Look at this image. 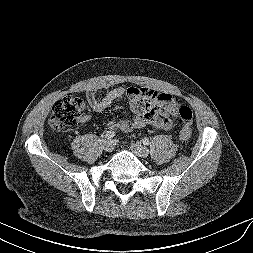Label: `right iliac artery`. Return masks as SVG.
<instances>
[{
    "label": "right iliac artery",
    "instance_id": "obj_1",
    "mask_svg": "<svg viewBox=\"0 0 253 253\" xmlns=\"http://www.w3.org/2000/svg\"><path fill=\"white\" fill-rule=\"evenodd\" d=\"M115 136V132L114 131H107L105 134V138L107 139H111Z\"/></svg>",
    "mask_w": 253,
    "mask_h": 253
}]
</instances>
